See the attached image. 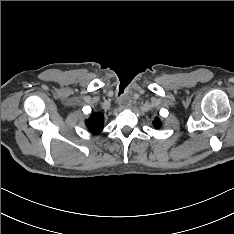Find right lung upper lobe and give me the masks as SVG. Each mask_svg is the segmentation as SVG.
<instances>
[{"instance_id":"1","label":"right lung upper lobe","mask_w":234,"mask_h":234,"mask_svg":"<svg viewBox=\"0 0 234 234\" xmlns=\"http://www.w3.org/2000/svg\"><path fill=\"white\" fill-rule=\"evenodd\" d=\"M85 123L93 134H98L103 129L104 116L100 112L92 113Z\"/></svg>"}]
</instances>
